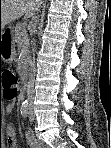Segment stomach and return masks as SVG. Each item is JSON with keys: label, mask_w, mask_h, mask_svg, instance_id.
<instances>
[{"label": "stomach", "mask_w": 111, "mask_h": 148, "mask_svg": "<svg viewBox=\"0 0 111 148\" xmlns=\"http://www.w3.org/2000/svg\"><path fill=\"white\" fill-rule=\"evenodd\" d=\"M15 57V46L14 43L6 42L4 44L0 43V61L12 62Z\"/></svg>", "instance_id": "stomach-1"}]
</instances>
